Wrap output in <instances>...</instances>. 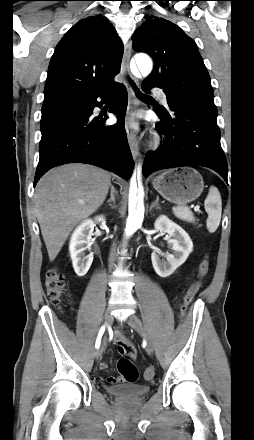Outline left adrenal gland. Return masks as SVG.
I'll use <instances>...</instances> for the list:
<instances>
[{
  "label": "left adrenal gland",
  "mask_w": 254,
  "mask_h": 440,
  "mask_svg": "<svg viewBox=\"0 0 254 440\" xmlns=\"http://www.w3.org/2000/svg\"><path fill=\"white\" fill-rule=\"evenodd\" d=\"M155 208V209H160V205H159V196L156 197V200L151 204L150 206V211Z\"/></svg>",
  "instance_id": "obj_1"
}]
</instances>
